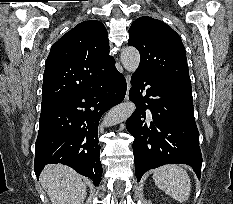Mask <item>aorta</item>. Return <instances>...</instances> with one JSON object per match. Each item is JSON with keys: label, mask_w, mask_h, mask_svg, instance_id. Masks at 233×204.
I'll list each match as a JSON object with an SVG mask.
<instances>
[{"label": "aorta", "mask_w": 233, "mask_h": 204, "mask_svg": "<svg viewBox=\"0 0 233 204\" xmlns=\"http://www.w3.org/2000/svg\"><path fill=\"white\" fill-rule=\"evenodd\" d=\"M121 63L129 72H135L140 63V54L135 47H126L121 52ZM136 106L133 102L122 103L111 109L104 118L106 127L116 125L125 121L135 111Z\"/></svg>", "instance_id": "1"}]
</instances>
